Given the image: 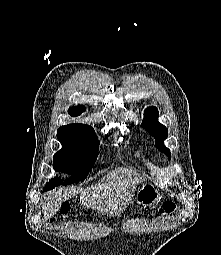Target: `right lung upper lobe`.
<instances>
[{
  "instance_id": "cb5924a9",
  "label": "right lung upper lobe",
  "mask_w": 221,
  "mask_h": 255,
  "mask_svg": "<svg viewBox=\"0 0 221 255\" xmlns=\"http://www.w3.org/2000/svg\"><path fill=\"white\" fill-rule=\"evenodd\" d=\"M84 111H85V107L83 105H78L77 107L69 108L68 112L71 116L75 117V116L80 115ZM61 128L81 130V131H86V132H94V129L91 126L85 125V124H69V125L62 126Z\"/></svg>"
}]
</instances>
